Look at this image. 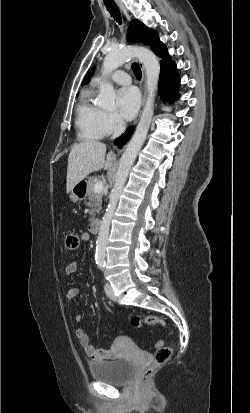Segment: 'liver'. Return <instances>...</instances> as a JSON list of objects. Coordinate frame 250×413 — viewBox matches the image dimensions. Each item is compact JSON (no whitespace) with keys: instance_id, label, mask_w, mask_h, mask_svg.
<instances>
[{"instance_id":"1","label":"liver","mask_w":250,"mask_h":413,"mask_svg":"<svg viewBox=\"0 0 250 413\" xmlns=\"http://www.w3.org/2000/svg\"><path fill=\"white\" fill-rule=\"evenodd\" d=\"M106 155V145L100 141L89 140L75 144L68 157L66 189L70 193L74 186L90 173L100 169L111 168L115 156L113 152Z\"/></svg>"}]
</instances>
